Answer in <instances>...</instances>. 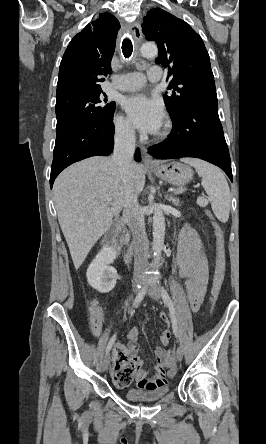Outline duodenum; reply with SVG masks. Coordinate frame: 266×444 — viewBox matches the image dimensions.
I'll return each instance as SVG.
<instances>
[{"label":"duodenum","instance_id":"duodenum-1","mask_svg":"<svg viewBox=\"0 0 266 444\" xmlns=\"http://www.w3.org/2000/svg\"><path fill=\"white\" fill-rule=\"evenodd\" d=\"M114 239H115V242L118 247V251H119L120 255L124 258V260H127V254L125 253V251L123 249L124 227H123L122 222H119L115 227Z\"/></svg>","mask_w":266,"mask_h":444}]
</instances>
